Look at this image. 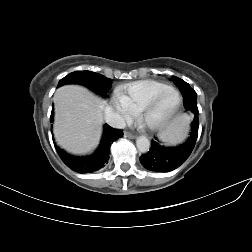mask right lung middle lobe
Masks as SVG:
<instances>
[{"mask_svg": "<svg viewBox=\"0 0 252 252\" xmlns=\"http://www.w3.org/2000/svg\"><path fill=\"white\" fill-rule=\"evenodd\" d=\"M112 79L91 72V71H75L62 78L57 87L65 84H81L97 94L107 97V92L111 88Z\"/></svg>", "mask_w": 252, "mask_h": 252, "instance_id": "dd1d6c3e", "label": "right lung middle lobe"}]
</instances>
